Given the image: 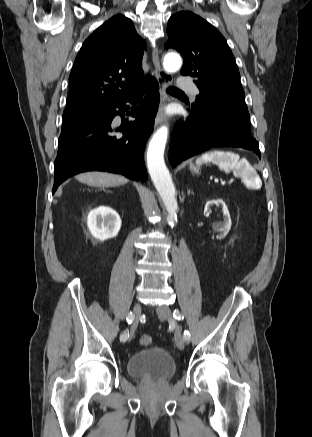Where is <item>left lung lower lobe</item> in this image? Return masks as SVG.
Segmentation results:
<instances>
[{"label":"left lung lower lobe","mask_w":312,"mask_h":437,"mask_svg":"<svg viewBox=\"0 0 312 437\" xmlns=\"http://www.w3.org/2000/svg\"><path fill=\"white\" fill-rule=\"evenodd\" d=\"M232 146L253 151L259 157V145L225 115L207 110L192 109L190 116L175 125L169 160L172 167L181 161L212 147Z\"/></svg>","instance_id":"obj_1"}]
</instances>
